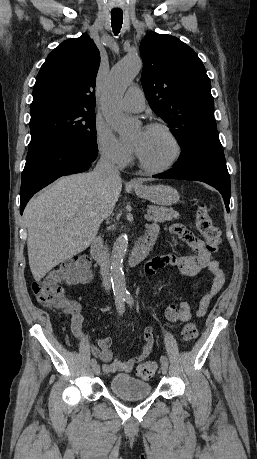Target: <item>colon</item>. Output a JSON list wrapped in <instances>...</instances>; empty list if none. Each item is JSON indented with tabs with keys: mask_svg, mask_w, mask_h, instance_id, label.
Masks as SVG:
<instances>
[{
	"mask_svg": "<svg viewBox=\"0 0 257 459\" xmlns=\"http://www.w3.org/2000/svg\"><path fill=\"white\" fill-rule=\"evenodd\" d=\"M196 228L204 238L207 248L211 251L218 249L220 244V231L213 224L207 206L200 204L195 216ZM89 259L79 256L62 262L57 268L50 271L44 278L33 282L32 290L37 301L45 307H53L73 315L76 308L69 300L62 287L61 281L70 280L79 282L89 279ZM198 335L197 327L194 323L184 326L181 336L183 341L189 342ZM156 372V363L152 361L144 362L137 368V374L143 378H151Z\"/></svg>",
	"mask_w": 257,
	"mask_h": 459,
	"instance_id": "obj_1",
	"label": "colon"
}]
</instances>
